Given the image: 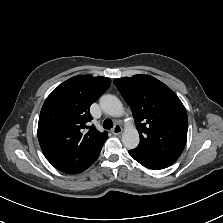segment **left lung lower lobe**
<instances>
[{"mask_svg": "<svg viewBox=\"0 0 223 223\" xmlns=\"http://www.w3.org/2000/svg\"><path fill=\"white\" fill-rule=\"evenodd\" d=\"M129 154L134 158L137 162L142 164L143 166L150 168V169H164L171 166L173 163L167 161H160L150 159L144 156L136 155L133 151H129Z\"/></svg>", "mask_w": 223, "mask_h": 223, "instance_id": "obj_1", "label": "left lung lower lobe"}]
</instances>
